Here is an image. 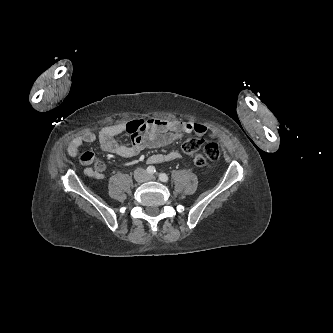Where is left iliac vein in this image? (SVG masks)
Masks as SVG:
<instances>
[{
  "instance_id": "4c4485c4",
  "label": "left iliac vein",
  "mask_w": 333,
  "mask_h": 333,
  "mask_svg": "<svg viewBox=\"0 0 333 333\" xmlns=\"http://www.w3.org/2000/svg\"><path fill=\"white\" fill-rule=\"evenodd\" d=\"M151 179H153L154 177L153 176H150Z\"/></svg>"
}]
</instances>
